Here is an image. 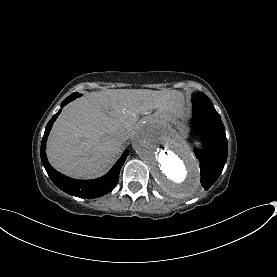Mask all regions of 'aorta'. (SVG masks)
<instances>
[{"instance_id":"762f6f07","label":"aorta","mask_w":277,"mask_h":277,"mask_svg":"<svg viewBox=\"0 0 277 277\" xmlns=\"http://www.w3.org/2000/svg\"><path fill=\"white\" fill-rule=\"evenodd\" d=\"M132 145L169 195L191 197L200 188V171L194 156L169 127L147 120L134 130Z\"/></svg>"}]
</instances>
